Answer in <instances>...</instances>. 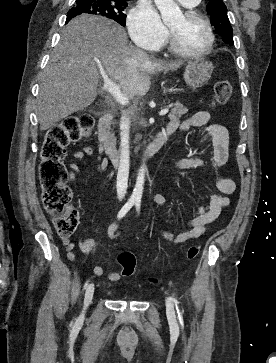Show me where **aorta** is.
Masks as SVG:
<instances>
[{
  "label": "aorta",
  "instance_id": "aorta-1",
  "mask_svg": "<svg viewBox=\"0 0 276 363\" xmlns=\"http://www.w3.org/2000/svg\"><path fill=\"white\" fill-rule=\"evenodd\" d=\"M154 2L160 11L162 20L165 24H171L176 20L183 18L182 11L174 0H154ZM145 170L146 166L143 164L139 169L136 185L131 196L133 200H140L142 197Z\"/></svg>",
  "mask_w": 276,
  "mask_h": 363
}]
</instances>
